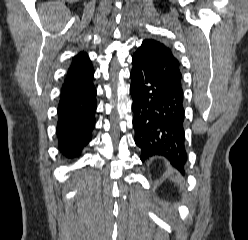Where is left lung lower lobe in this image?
Listing matches in <instances>:
<instances>
[{"mask_svg": "<svg viewBox=\"0 0 248 240\" xmlns=\"http://www.w3.org/2000/svg\"><path fill=\"white\" fill-rule=\"evenodd\" d=\"M132 63L130 94L140 158L163 156L183 172L187 160L183 90L143 59L133 56Z\"/></svg>", "mask_w": 248, "mask_h": 240, "instance_id": "obj_1", "label": "left lung lower lobe"}]
</instances>
